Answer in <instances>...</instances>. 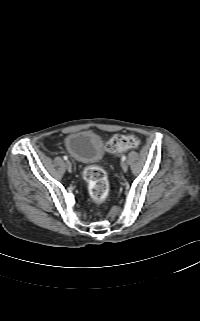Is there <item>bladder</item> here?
I'll use <instances>...</instances> for the list:
<instances>
[{"label": "bladder", "mask_w": 200, "mask_h": 321, "mask_svg": "<svg viewBox=\"0 0 200 321\" xmlns=\"http://www.w3.org/2000/svg\"><path fill=\"white\" fill-rule=\"evenodd\" d=\"M64 145L69 155L82 163L99 161L104 154L101 137L91 130L75 131L68 134Z\"/></svg>", "instance_id": "1"}]
</instances>
